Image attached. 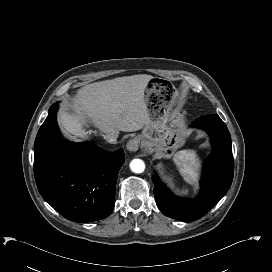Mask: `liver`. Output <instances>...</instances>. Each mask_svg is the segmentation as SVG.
<instances>
[{
    "label": "liver",
    "mask_w": 272,
    "mask_h": 272,
    "mask_svg": "<svg viewBox=\"0 0 272 272\" xmlns=\"http://www.w3.org/2000/svg\"><path fill=\"white\" fill-rule=\"evenodd\" d=\"M150 75L118 77L86 85L78 90L71 112L59 115L62 127L74 137L86 139L88 119L104 133L133 132L147 126L149 114L144 103V91Z\"/></svg>",
    "instance_id": "liver-1"
}]
</instances>
